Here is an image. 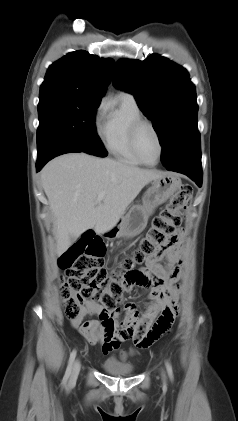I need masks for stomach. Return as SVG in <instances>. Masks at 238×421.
I'll return each instance as SVG.
<instances>
[{
    "mask_svg": "<svg viewBox=\"0 0 238 421\" xmlns=\"http://www.w3.org/2000/svg\"><path fill=\"white\" fill-rule=\"evenodd\" d=\"M181 185L180 178L173 173L167 172L154 179L142 199V205L132 206L128 213L108 231V236L129 238L141 233L154 209L167 201Z\"/></svg>",
    "mask_w": 238,
    "mask_h": 421,
    "instance_id": "0dacf381",
    "label": "stomach"
}]
</instances>
